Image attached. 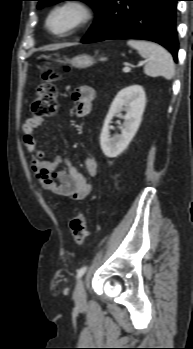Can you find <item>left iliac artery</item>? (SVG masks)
<instances>
[{"label":"left iliac artery","mask_w":193,"mask_h":349,"mask_svg":"<svg viewBox=\"0 0 193 349\" xmlns=\"http://www.w3.org/2000/svg\"><path fill=\"white\" fill-rule=\"evenodd\" d=\"M86 271H87V266H83L82 268H80L77 272V278L82 277Z\"/></svg>","instance_id":"obj_1"}]
</instances>
